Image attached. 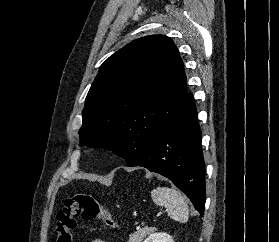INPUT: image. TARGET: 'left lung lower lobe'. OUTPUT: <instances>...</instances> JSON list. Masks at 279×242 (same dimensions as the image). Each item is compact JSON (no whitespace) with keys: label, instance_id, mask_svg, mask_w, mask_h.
I'll return each instance as SVG.
<instances>
[{"label":"left lung lower lobe","instance_id":"0a47b994","mask_svg":"<svg viewBox=\"0 0 279 242\" xmlns=\"http://www.w3.org/2000/svg\"><path fill=\"white\" fill-rule=\"evenodd\" d=\"M127 166H142L169 178L204 214L205 162L192 94L174 120Z\"/></svg>","mask_w":279,"mask_h":242}]
</instances>
